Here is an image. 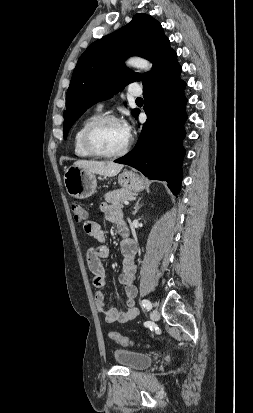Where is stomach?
I'll return each instance as SVG.
<instances>
[{
    "mask_svg": "<svg viewBox=\"0 0 253 413\" xmlns=\"http://www.w3.org/2000/svg\"><path fill=\"white\" fill-rule=\"evenodd\" d=\"M119 185L127 191L139 192L145 188L144 180L135 172L124 170L118 176ZM64 185L67 193L77 199H85L92 196L97 187L95 174L72 165L65 170Z\"/></svg>",
    "mask_w": 253,
    "mask_h": 413,
    "instance_id": "1",
    "label": "stomach"
}]
</instances>
